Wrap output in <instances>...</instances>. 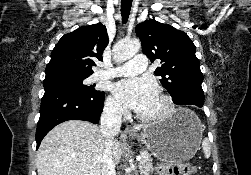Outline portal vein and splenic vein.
<instances>
[{"instance_id": "portal-vein-and-splenic-vein-1", "label": "portal vein and splenic vein", "mask_w": 251, "mask_h": 175, "mask_svg": "<svg viewBox=\"0 0 251 175\" xmlns=\"http://www.w3.org/2000/svg\"><path fill=\"white\" fill-rule=\"evenodd\" d=\"M136 159H138V161H140V159H141L140 155H137ZM84 175H89V173H84Z\"/></svg>"}]
</instances>
